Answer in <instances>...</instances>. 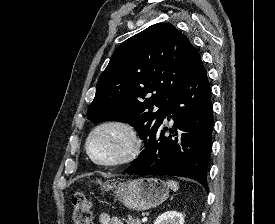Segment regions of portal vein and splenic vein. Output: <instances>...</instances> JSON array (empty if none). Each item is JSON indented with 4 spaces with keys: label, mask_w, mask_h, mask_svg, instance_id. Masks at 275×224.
Returning <instances> with one entry per match:
<instances>
[{
    "label": "portal vein and splenic vein",
    "mask_w": 275,
    "mask_h": 224,
    "mask_svg": "<svg viewBox=\"0 0 275 224\" xmlns=\"http://www.w3.org/2000/svg\"><path fill=\"white\" fill-rule=\"evenodd\" d=\"M147 220H148L147 217H143V218H142V222H143V223L147 222Z\"/></svg>",
    "instance_id": "1"
}]
</instances>
